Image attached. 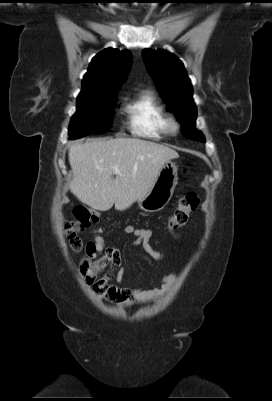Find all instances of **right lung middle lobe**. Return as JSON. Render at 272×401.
I'll list each match as a JSON object with an SVG mask.
<instances>
[{"label":"right lung middle lobe","mask_w":272,"mask_h":401,"mask_svg":"<svg viewBox=\"0 0 272 401\" xmlns=\"http://www.w3.org/2000/svg\"><path fill=\"white\" fill-rule=\"evenodd\" d=\"M115 93V91L103 92L77 98V111L69 126L71 139L110 130Z\"/></svg>","instance_id":"right-lung-middle-lobe-1"}]
</instances>
